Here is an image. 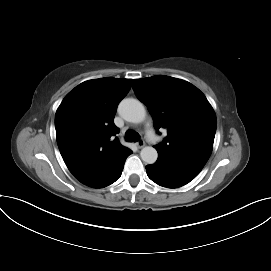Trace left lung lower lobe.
I'll return each instance as SVG.
<instances>
[{"label": "left lung lower lobe", "mask_w": 271, "mask_h": 271, "mask_svg": "<svg viewBox=\"0 0 271 271\" xmlns=\"http://www.w3.org/2000/svg\"><path fill=\"white\" fill-rule=\"evenodd\" d=\"M158 151V150H157ZM204 167L203 164L158 151L155 164L147 165L148 177L160 186L181 187L193 180Z\"/></svg>", "instance_id": "left-lung-lower-lobe-1"}]
</instances>
